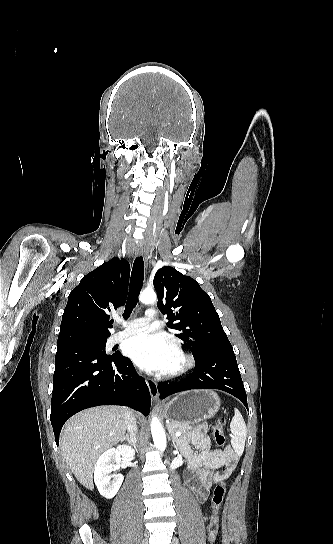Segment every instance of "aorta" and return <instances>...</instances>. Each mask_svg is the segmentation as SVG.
<instances>
[{"label":"aorta","mask_w":333,"mask_h":544,"mask_svg":"<svg viewBox=\"0 0 333 544\" xmlns=\"http://www.w3.org/2000/svg\"><path fill=\"white\" fill-rule=\"evenodd\" d=\"M139 299L142 303L145 304H154L157 300V295L153 290L145 289L139 295ZM151 432L155 447L159 451H164L166 449V435L165 431L157 417H153L151 420Z\"/></svg>","instance_id":"aorta-1"}]
</instances>
